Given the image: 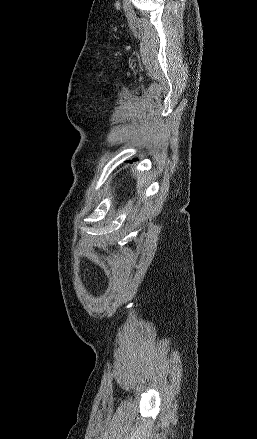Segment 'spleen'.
<instances>
[{"mask_svg": "<svg viewBox=\"0 0 257 439\" xmlns=\"http://www.w3.org/2000/svg\"><path fill=\"white\" fill-rule=\"evenodd\" d=\"M146 183V175L140 174L137 178V192L141 195L143 184Z\"/></svg>", "mask_w": 257, "mask_h": 439, "instance_id": "1", "label": "spleen"}]
</instances>
